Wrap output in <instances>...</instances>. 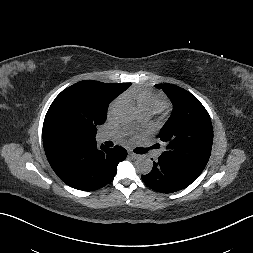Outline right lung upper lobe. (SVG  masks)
Wrapping results in <instances>:
<instances>
[{"instance_id":"cb5924a9","label":"right lung upper lobe","mask_w":253,"mask_h":253,"mask_svg":"<svg viewBox=\"0 0 253 253\" xmlns=\"http://www.w3.org/2000/svg\"><path fill=\"white\" fill-rule=\"evenodd\" d=\"M125 84L126 83L108 84V83H102V82H98V81L85 80V81L78 82V83L70 86L69 88L70 89H79V90L86 91V92H91V91L96 90L97 88L102 87V86H105V87H108V86L109 87L110 86L122 87ZM94 144H96L95 140L92 141V142L84 143V144L77 145V146H62V145L51 143L46 138L43 137V145H44V150H45V153H46L47 157H49V156H51V155H53V154H55L56 152H59V151H64V150H69V149H74V148H77V147L89 146V145H94Z\"/></svg>"}]
</instances>
